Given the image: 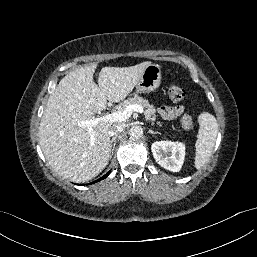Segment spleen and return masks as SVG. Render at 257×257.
I'll list each match as a JSON object with an SVG mask.
<instances>
[{"instance_id": "obj_1", "label": "spleen", "mask_w": 257, "mask_h": 257, "mask_svg": "<svg viewBox=\"0 0 257 257\" xmlns=\"http://www.w3.org/2000/svg\"><path fill=\"white\" fill-rule=\"evenodd\" d=\"M199 130L196 141L195 168L201 169L208 161L213 151L216 137L218 134V124L216 118L208 113L203 112L198 117Z\"/></svg>"}]
</instances>
